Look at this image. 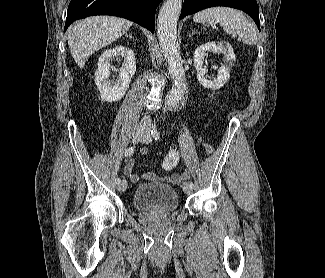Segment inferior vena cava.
<instances>
[{
    "instance_id": "obj_1",
    "label": "inferior vena cava",
    "mask_w": 325,
    "mask_h": 278,
    "mask_svg": "<svg viewBox=\"0 0 325 278\" xmlns=\"http://www.w3.org/2000/svg\"><path fill=\"white\" fill-rule=\"evenodd\" d=\"M150 120V117L145 115L142 119V123H147Z\"/></svg>"
}]
</instances>
